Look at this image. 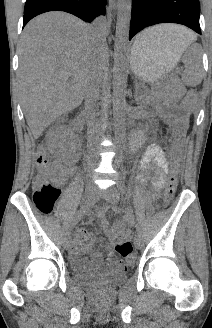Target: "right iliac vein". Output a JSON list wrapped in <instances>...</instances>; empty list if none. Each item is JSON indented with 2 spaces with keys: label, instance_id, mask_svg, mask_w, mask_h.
Wrapping results in <instances>:
<instances>
[{
  "label": "right iliac vein",
  "instance_id": "obj_1",
  "mask_svg": "<svg viewBox=\"0 0 212 328\" xmlns=\"http://www.w3.org/2000/svg\"><path fill=\"white\" fill-rule=\"evenodd\" d=\"M94 192H95L94 185L92 183H88L86 185V189H85V200H86V202L91 200V198L94 195ZM70 245H71V237L68 233V235L66 236V238L64 240V248L69 249Z\"/></svg>",
  "mask_w": 212,
  "mask_h": 328
}]
</instances>
